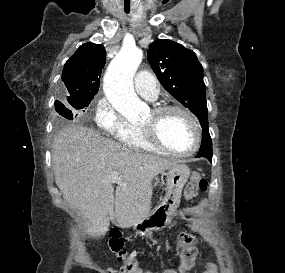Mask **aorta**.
Returning <instances> with one entry per match:
<instances>
[{
    "instance_id": "aorta-1",
    "label": "aorta",
    "mask_w": 285,
    "mask_h": 273,
    "mask_svg": "<svg viewBox=\"0 0 285 273\" xmlns=\"http://www.w3.org/2000/svg\"><path fill=\"white\" fill-rule=\"evenodd\" d=\"M142 58L143 52L138 47H123L109 64L103 79L108 101L128 119L139 118L148 110L133 88V77Z\"/></svg>"
}]
</instances>
